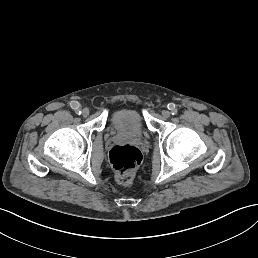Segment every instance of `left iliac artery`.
Returning <instances> with one entry per match:
<instances>
[{
  "mask_svg": "<svg viewBox=\"0 0 258 258\" xmlns=\"http://www.w3.org/2000/svg\"><path fill=\"white\" fill-rule=\"evenodd\" d=\"M177 113H178V110H177V109H174V110L171 111V114H172V115H176Z\"/></svg>",
  "mask_w": 258,
  "mask_h": 258,
  "instance_id": "1",
  "label": "left iliac artery"
}]
</instances>
